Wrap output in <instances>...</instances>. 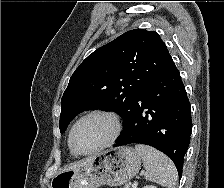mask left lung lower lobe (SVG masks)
<instances>
[{"instance_id":"obj_1","label":"left lung lower lobe","mask_w":224,"mask_h":188,"mask_svg":"<svg viewBox=\"0 0 224 188\" xmlns=\"http://www.w3.org/2000/svg\"><path fill=\"white\" fill-rule=\"evenodd\" d=\"M131 112L114 147L131 143L150 145L171 158L181 177L192 121L185 87L174 63L142 88Z\"/></svg>"}]
</instances>
